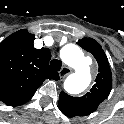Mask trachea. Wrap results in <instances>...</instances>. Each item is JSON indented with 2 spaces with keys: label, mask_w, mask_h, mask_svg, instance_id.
Returning <instances> with one entry per match:
<instances>
[{
  "label": "trachea",
  "mask_w": 124,
  "mask_h": 124,
  "mask_svg": "<svg viewBox=\"0 0 124 124\" xmlns=\"http://www.w3.org/2000/svg\"><path fill=\"white\" fill-rule=\"evenodd\" d=\"M50 67L54 70V71H59L62 67V62L58 59H53L50 62Z\"/></svg>",
  "instance_id": "3493384b"
}]
</instances>
